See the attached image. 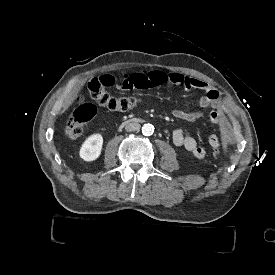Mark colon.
Masks as SVG:
<instances>
[{
  "label": "colon",
  "mask_w": 275,
  "mask_h": 275,
  "mask_svg": "<svg viewBox=\"0 0 275 275\" xmlns=\"http://www.w3.org/2000/svg\"><path fill=\"white\" fill-rule=\"evenodd\" d=\"M84 86L85 88H92V98L99 106L111 111L127 110L135 107L139 102L134 97H115L107 94L104 91L105 86L101 83L100 77H85ZM96 113L97 109H94L93 103L87 101L85 98H80L79 105L67 122L66 134L71 138L83 135L86 124L95 117ZM210 153L218 161L223 159V153L219 149L212 148Z\"/></svg>",
  "instance_id": "1"
}]
</instances>
